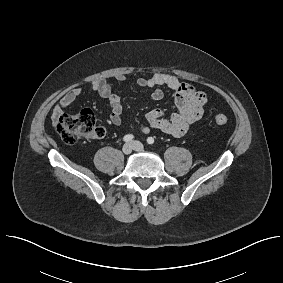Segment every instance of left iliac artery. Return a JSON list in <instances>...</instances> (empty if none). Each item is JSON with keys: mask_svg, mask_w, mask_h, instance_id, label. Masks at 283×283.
<instances>
[{"mask_svg": "<svg viewBox=\"0 0 283 283\" xmlns=\"http://www.w3.org/2000/svg\"><path fill=\"white\" fill-rule=\"evenodd\" d=\"M147 143L148 144H153L154 143V138L153 137H148L147 138Z\"/></svg>", "mask_w": 283, "mask_h": 283, "instance_id": "obj_1", "label": "left iliac artery"}]
</instances>
